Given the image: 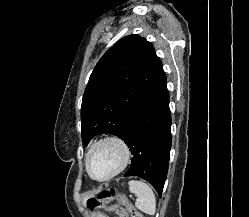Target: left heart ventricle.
<instances>
[{
    "label": "left heart ventricle",
    "mask_w": 249,
    "mask_h": 217,
    "mask_svg": "<svg viewBox=\"0 0 249 217\" xmlns=\"http://www.w3.org/2000/svg\"><path fill=\"white\" fill-rule=\"evenodd\" d=\"M120 159L121 152L115 145H102L90 158V170L96 177L106 176L118 166Z\"/></svg>",
    "instance_id": "left-heart-ventricle-1"
}]
</instances>
